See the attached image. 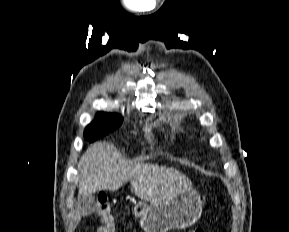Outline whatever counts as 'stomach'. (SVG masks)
<instances>
[{"instance_id": "1", "label": "stomach", "mask_w": 289, "mask_h": 232, "mask_svg": "<svg viewBox=\"0 0 289 232\" xmlns=\"http://www.w3.org/2000/svg\"><path fill=\"white\" fill-rule=\"evenodd\" d=\"M134 215L140 219L145 232H167L171 229H186L201 216L200 194L190 189L162 203L147 204L140 201L135 205Z\"/></svg>"}]
</instances>
